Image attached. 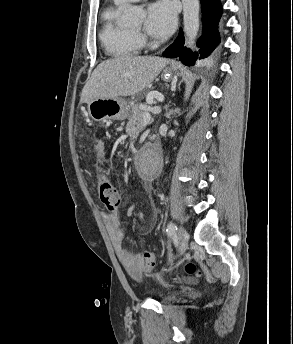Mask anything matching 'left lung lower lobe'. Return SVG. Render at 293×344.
Masks as SVG:
<instances>
[{
	"instance_id": "left-lung-lower-lobe-1",
	"label": "left lung lower lobe",
	"mask_w": 293,
	"mask_h": 344,
	"mask_svg": "<svg viewBox=\"0 0 293 344\" xmlns=\"http://www.w3.org/2000/svg\"><path fill=\"white\" fill-rule=\"evenodd\" d=\"M203 32L197 43L202 47L199 53L200 59L207 57L220 42L217 25L222 15L220 0H201ZM164 57L179 58L187 66L194 65L198 53H191V50L184 47V36L180 30L175 41L162 53Z\"/></svg>"
}]
</instances>
